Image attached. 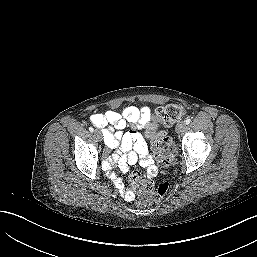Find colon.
Instances as JSON below:
<instances>
[{
    "instance_id": "1",
    "label": "colon",
    "mask_w": 257,
    "mask_h": 257,
    "mask_svg": "<svg viewBox=\"0 0 257 257\" xmlns=\"http://www.w3.org/2000/svg\"><path fill=\"white\" fill-rule=\"evenodd\" d=\"M184 108L179 104H167L156 109L154 120L150 123L152 132V148L156 153L158 163L162 167L172 164L174 155L171 149V139L163 131H155V125L161 123L165 126H172L182 119ZM130 182L133 189L140 194L137 204L148 205L157 202L163 198L169 189V183L161 180L156 186L151 182L144 181L138 172L130 176Z\"/></svg>"
}]
</instances>
